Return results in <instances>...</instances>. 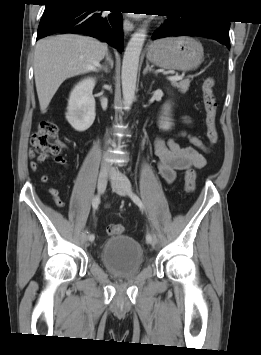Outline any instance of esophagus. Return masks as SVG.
I'll list each match as a JSON object with an SVG mask.
<instances>
[{"mask_svg": "<svg viewBox=\"0 0 261 355\" xmlns=\"http://www.w3.org/2000/svg\"><path fill=\"white\" fill-rule=\"evenodd\" d=\"M123 28L125 33H130L134 30V24L127 18L123 20Z\"/></svg>", "mask_w": 261, "mask_h": 355, "instance_id": "esophagus-1", "label": "esophagus"}]
</instances>
